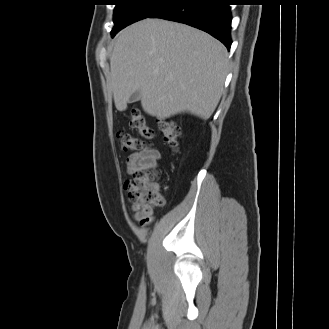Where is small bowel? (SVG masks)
<instances>
[{"label":"small bowel","mask_w":329,"mask_h":329,"mask_svg":"<svg viewBox=\"0 0 329 329\" xmlns=\"http://www.w3.org/2000/svg\"><path fill=\"white\" fill-rule=\"evenodd\" d=\"M161 159V153L156 148H146L138 153H134L128 156L126 160V171L132 174L136 171L155 168ZM159 190V187L156 186ZM128 201L131 204V210L133 212V219L140 225L146 226L153 222V210L144 211L140 205L132 202L129 197Z\"/></svg>","instance_id":"c3829d8e"}]
</instances>
